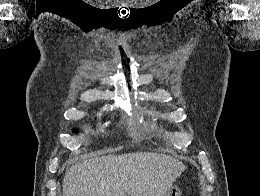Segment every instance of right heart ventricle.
<instances>
[{"label":"right heart ventricle","mask_w":260,"mask_h":196,"mask_svg":"<svg viewBox=\"0 0 260 196\" xmlns=\"http://www.w3.org/2000/svg\"><path fill=\"white\" fill-rule=\"evenodd\" d=\"M116 192H153V190H116Z\"/></svg>","instance_id":"right-heart-ventricle-1"}]
</instances>
